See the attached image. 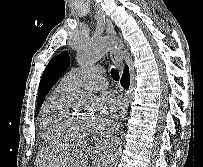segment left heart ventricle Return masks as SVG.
Here are the masks:
<instances>
[{
	"mask_svg": "<svg viewBox=\"0 0 203 167\" xmlns=\"http://www.w3.org/2000/svg\"><path fill=\"white\" fill-rule=\"evenodd\" d=\"M79 117L87 120L88 122L92 123V116L89 113H83Z\"/></svg>",
	"mask_w": 203,
	"mask_h": 167,
	"instance_id": "b2bd125f",
	"label": "left heart ventricle"
}]
</instances>
